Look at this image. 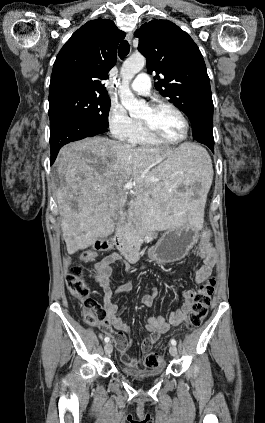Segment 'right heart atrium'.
<instances>
[{
    "mask_svg": "<svg viewBox=\"0 0 265 423\" xmlns=\"http://www.w3.org/2000/svg\"><path fill=\"white\" fill-rule=\"evenodd\" d=\"M107 120L113 137L121 141H128L131 138L137 123L129 117L121 105L115 103L109 108Z\"/></svg>",
    "mask_w": 265,
    "mask_h": 423,
    "instance_id": "obj_1",
    "label": "right heart atrium"
}]
</instances>
